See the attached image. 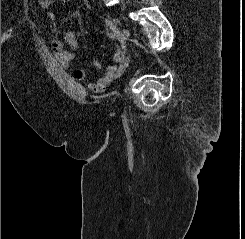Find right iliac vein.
<instances>
[{
    "label": "right iliac vein",
    "instance_id": "63e3f726",
    "mask_svg": "<svg viewBox=\"0 0 245 239\" xmlns=\"http://www.w3.org/2000/svg\"><path fill=\"white\" fill-rule=\"evenodd\" d=\"M105 22L120 41L124 52H126V36L124 33L108 17H105Z\"/></svg>",
    "mask_w": 245,
    "mask_h": 239
}]
</instances>
